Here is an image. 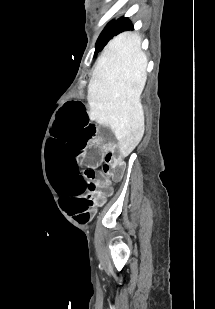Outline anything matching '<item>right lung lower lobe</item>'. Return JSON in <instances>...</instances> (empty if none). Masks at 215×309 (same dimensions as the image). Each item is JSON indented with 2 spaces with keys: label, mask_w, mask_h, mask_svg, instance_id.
Listing matches in <instances>:
<instances>
[{
  "label": "right lung lower lobe",
  "mask_w": 215,
  "mask_h": 309,
  "mask_svg": "<svg viewBox=\"0 0 215 309\" xmlns=\"http://www.w3.org/2000/svg\"><path fill=\"white\" fill-rule=\"evenodd\" d=\"M121 23H122V25H121L119 33L133 28L132 24L130 23V21L127 18H123L121 20Z\"/></svg>",
  "instance_id": "1"
}]
</instances>
